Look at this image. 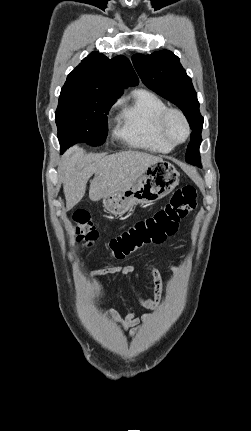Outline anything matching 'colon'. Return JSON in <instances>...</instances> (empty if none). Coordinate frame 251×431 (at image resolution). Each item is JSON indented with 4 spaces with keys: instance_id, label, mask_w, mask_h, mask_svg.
Returning <instances> with one entry per match:
<instances>
[{
    "instance_id": "5ec220e1",
    "label": "colon",
    "mask_w": 251,
    "mask_h": 431,
    "mask_svg": "<svg viewBox=\"0 0 251 431\" xmlns=\"http://www.w3.org/2000/svg\"><path fill=\"white\" fill-rule=\"evenodd\" d=\"M196 205L197 193L193 186L177 189L164 207L112 238L107 253L111 258L120 260L144 246L165 242L175 234L180 220L193 211ZM71 219L77 243L91 247L98 238V231L90 216L86 212H75Z\"/></svg>"
}]
</instances>
